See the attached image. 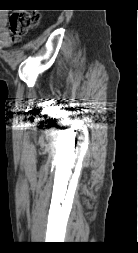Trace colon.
<instances>
[{"label": "colon", "mask_w": 138, "mask_h": 253, "mask_svg": "<svg viewBox=\"0 0 138 253\" xmlns=\"http://www.w3.org/2000/svg\"><path fill=\"white\" fill-rule=\"evenodd\" d=\"M32 26L31 16L26 12H16L10 17V30L12 40L25 35Z\"/></svg>", "instance_id": "obj_1"}]
</instances>
